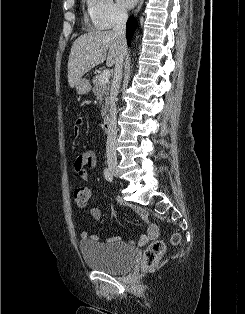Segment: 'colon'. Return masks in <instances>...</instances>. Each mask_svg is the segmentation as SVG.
<instances>
[{
	"label": "colon",
	"instance_id": "5ec220e1",
	"mask_svg": "<svg viewBox=\"0 0 245 314\" xmlns=\"http://www.w3.org/2000/svg\"><path fill=\"white\" fill-rule=\"evenodd\" d=\"M73 197L77 205L86 206L89 204L91 199V193L88 187L79 186L74 189ZM180 241V236L174 234L171 238L172 244H177ZM166 251V244L157 240L152 242L145 250L143 256L142 266L144 269L153 267L164 255Z\"/></svg>",
	"mask_w": 245,
	"mask_h": 314
}]
</instances>
